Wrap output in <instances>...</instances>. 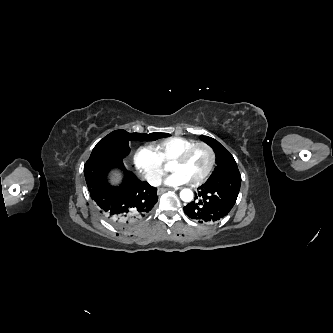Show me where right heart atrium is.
Returning a JSON list of instances; mask_svg holds the SVG:
<instances>
[{"mask_svg": "<svg viewBox=\"0 0 333 333\" xmlns=\"http://www.w3.org/2000/svg\"><path fill=\"white\" fill-rule=\"evenodd\" d=\"M134 164L138 173L151 186H158L161 183L164 166L151 147H139L134 155Z\"/></svg>", "mask_w": 333, "mask_h": 333, "instance_id": "right-heart-atrium-1", "label": "right heart atrium"}]
</instances>
